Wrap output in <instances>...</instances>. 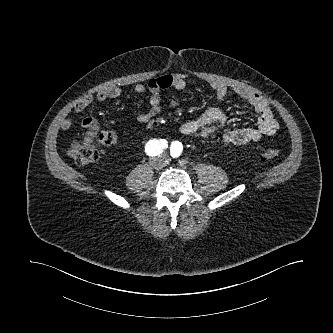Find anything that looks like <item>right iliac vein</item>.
Listing matches in <instances>:
<instances>
[{
	"label": "right iliac vein",
	"mask_w": 333,
	"mask_h": 333,
	"mask_svg": "<svg viewBox=\"0 0 333 333\" xmlns=\"http://www.w3.org/2000/svg\"><path fill=\"white\" fill-rule=\"evenodd\" d=\"M151 165L155 170H159L162 166L161 161L158 159H154L151 161Z\"/></svg>",
	"instance_id": "right-iliac-vein-1"
}]
</instances>
